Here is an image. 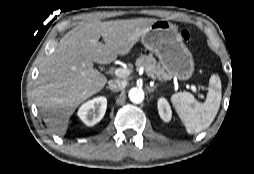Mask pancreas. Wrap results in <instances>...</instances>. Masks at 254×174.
Returning a JSON list of instances; mask_svg holds the SVG:
<instances>
[{
	"label": "pancreas",
	"instance_id": "1",
	"mask_svg": "<svg viewBox=\"0 0 254 174\" xmlns=\"http://www.w3.org/2000/svg\"><path fill=\"white\" fill-rule=\"evenodd\" d=\"M136 67H143L147 76L152 79H171V76L167 72H165V70L161 67L159 63H157L156 59L152 55H141L136 60Z\"/></svg>",
	"mask_w": 254,
	"mask_h": 174
}]
</instances>
